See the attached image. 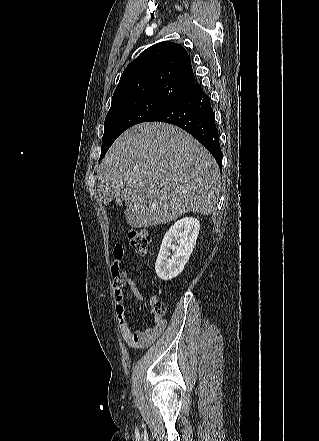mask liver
Here are the masks:
<instances>
[{
  "mask_svg": "<svg viewBox=\"0 0 319 441\" xmlns=\"http://www.w3.org/2000/svg\"><path fill=\"white\" fill-rule=\"evenodd\" d=\"M100 200H121L133 228L165 224L188 212L214 213L221 190L216 160L194 137L171 124L145 122L110 147L98 182Z\"/></svg>",
  "mask_w": 319,
  "mask_h": 441,
  "instance_id": "1",
  "label": "liver"
}]
</instances>
